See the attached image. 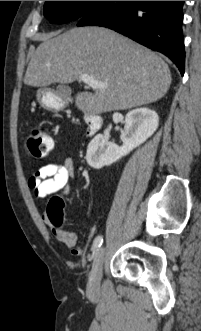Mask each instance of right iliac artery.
<instances>
[{
	"mask_svg": "<svg viewBox=\"0 0 201 331\" xmlns=\"http://www.w3.org/2000/svg\"><path fill=\"white\" fill-rule=\"evenodd\" d=\"M102 243H103V237L102 236H97L94 239L93 246H92V251L96 252L100 248Z\"/></svg>",
	"mask_w": 201,
	"mask_h": 331,
	"instance_id": "right-iliac-artery-1",
	"label": "right iliac artery"
}]
</instances>
